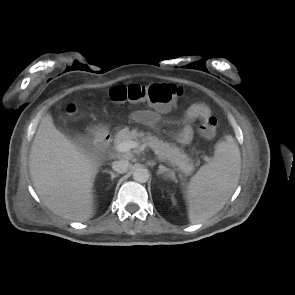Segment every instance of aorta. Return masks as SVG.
I'll use <instances>...</instances> for the list:
<instances>
[{"mask_svg":"<svg viewBox=\"0 0 295 295\" xmlns=\"http://www.w3.org/2000/svg\"><path fill=\"white\" fill-rule=\"evenodd\" d=\"M149 171L144 167H138L133 172V179L139 183H145L149 179Z\"/></svg>","mask_w":295,"mask_h":295,"instance_id":"762f6f07","label":"aorta"}]
</instances>
